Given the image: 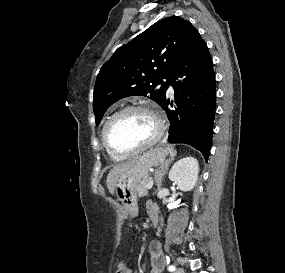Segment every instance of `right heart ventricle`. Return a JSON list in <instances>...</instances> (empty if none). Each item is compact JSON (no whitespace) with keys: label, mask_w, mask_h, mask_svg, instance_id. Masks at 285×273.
<instances>
[{"label":"right heart ventricle","mask_w":285,"mask_h":273,"mask_svg":"<svg viewBox=\"0 0 285 273\" xmlns=\"http://www.w3.org/2000/svg\"><path fill=\"white\" fill-rule=\"evenodd\" d=\"M107 120H108V119H107ZM107 120L105 121V123L107 122ZM104 126H105V124H104ZM104 126H103V129H104ZM102 133H103V130H102ZM102 140H103V138H102ZM103 144H104V142H103ZM104 148L106 149V151L108 152V154H109L112 158H114V159H123V158H124L123 156H119V155H116V154L110 152V151L106 148L105 145H104Z\"/></svg>","instance_id":"right-heart-ventricle-1"}]
</instances>
